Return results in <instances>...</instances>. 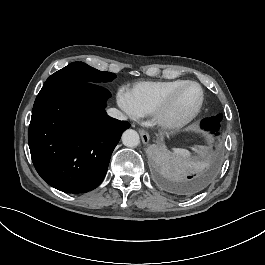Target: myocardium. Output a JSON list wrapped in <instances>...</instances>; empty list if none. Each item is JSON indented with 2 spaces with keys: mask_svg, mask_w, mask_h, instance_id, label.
I'll return each mask as SVG.
<instances>
[{
  "mask_svg": "<svg viewBox=\"0 0 265 265\" xmlns=\"http://www.w3.org/2000/svg\"><path fill=\"white\" fill-rule=\"evenodd\" d=\"M190 84H195L200 89V98L197 105L188 111L187 113L178 116L172 117L171 113L174 106L177 103V100L182 93L183 89ZM206 101V93L204 90L203 85L196 80H184L181 82L176 89L171 93V95L162 103L160 104L156 110L153 112L152 122L153 125L160 131L164 132H175L187 124H189L203 109L204 104Z\"/></svg>",
  "mask_w": 265,
  "mask_h": 265,
  "instance_id": "myocardium-1",
  "label": "myocardium"
}]
</instances>
